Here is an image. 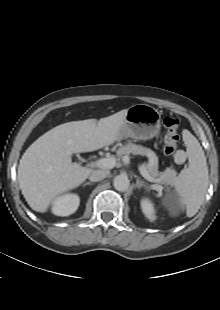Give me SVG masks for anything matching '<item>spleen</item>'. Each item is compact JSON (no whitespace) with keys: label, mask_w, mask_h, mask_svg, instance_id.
I'll return each instance as SVG.
<instances>
[{"label":"spleen","mask_w":220,"mask_h":310,"mask_svg":"<svg viewBox=\"0 0 220 310\" xmlns=\"http://www.w3.org/2000/svg\"><path fill=\"white\" fill-rule=\"evenodd\" d=\"M182 134L189 166L180 172L174 185L186 215L193 217L204 200L209 178L208 167L198 140L188 130H183Z\"/></svg>","instance_id":"spleen-1"}]
</instances>
